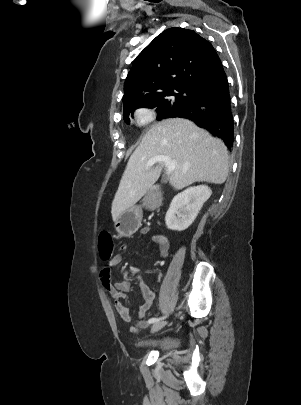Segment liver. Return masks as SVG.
Listing matches in <instances>:
<instances>
[{"mask_svg": "<svg viewBox=\"0 0 301 405\" xmlns=\"http://www.w3.org/2000/svg\"><path fill=\"white\" fill-rule=\"evenodd\" d=\"M165 155L177 162L169 177L170 185L181 190L194 182L222 184L229 172L225 144L193 122L173 118L154 124L128 160L112 202L114 222L153 186L160 176V166L147 167L154 156Z\"/></svg>", "mask_w": 301, "mask_h": 405, "instance_id": "liver-1", "label": "liver"}]
</instances>
